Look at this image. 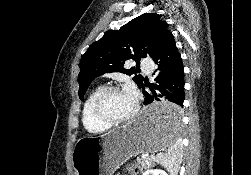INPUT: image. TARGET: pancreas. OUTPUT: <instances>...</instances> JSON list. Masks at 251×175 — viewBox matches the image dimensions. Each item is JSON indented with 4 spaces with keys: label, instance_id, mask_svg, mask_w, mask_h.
I'll return each mask as SVG.
<instances>
[{
    "label": "pancreas",
    "instance_id": "1",
    "mask_svg": "<svg viewBox=\"0 0 251 175\" xmlns=\"http://www.w3.org/2000/svg\"><path fill=\"white\" fill-rule=\"evenodd\" d=\"M135 165L142 171V169H147V167L155 165V163L152 155H146V157H137Z\"/></svg>",
    "mask_w": 251,
    "mask_h": 175
}]
</instances>
